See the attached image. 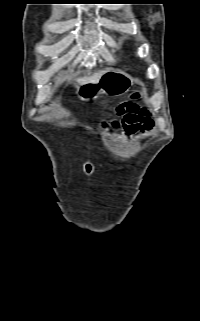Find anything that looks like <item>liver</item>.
Listing matches in <instances>:
<instances>
[{"mask_svg": "<svg viewBox=\"0 0 200 321\" xmlns=\"http://www.w3.org/2000/svg\"><path fill=\"white\" fill-rule=\"evenodd\" d=\"M104 73H105V71L102 70V71H99L98 73H95L91 77L79 78L77 81H78L79 85H82V84H85V83L91 82V81H97Z\"/></svg>", "mask_w": 200, "mask_h": 321, "instance_id": "obj_1", "label": "liver"}]
</instances>
